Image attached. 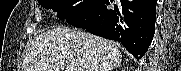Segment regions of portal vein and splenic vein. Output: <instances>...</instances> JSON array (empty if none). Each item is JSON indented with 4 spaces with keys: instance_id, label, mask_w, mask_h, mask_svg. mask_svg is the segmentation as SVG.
Instances as JSON below:
<instances>
[{
    "instance_id": "portal-vein-and-splenic-vein-1",
    "label": "portal vein and splenic vein",
    "mask_w": 181,
    "mask_h": 71,
    "mask_svg": "<svg viewBox=\"0 0 181 71\" xmlns=\"http://www.w3.org/2000/svg\"><path fill=\"white\" fill-rule=\"evenodd\" d=\"M66 71H73V69L70 68V67H67V68H66Z\"/></svg>"
}]
</instances>
